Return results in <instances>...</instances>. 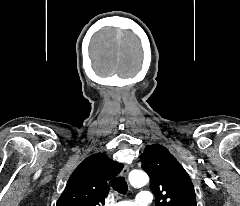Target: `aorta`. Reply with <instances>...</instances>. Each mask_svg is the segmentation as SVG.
<instances>
[{"label":"aorta","instance_id":"1","mask_svg":"<svg viewBox=\"0 0 240 206\" xmlns=\"http://www.w3.org/2000/svg\"><path fill=\"white\" fill-rule=\"evenodd\" d=\"M129 181L134 187H142L148 183V176L143 171L133 170L129 174Z\"/></svg>","mask_w":240,"mask_h":206}]
</instances>
